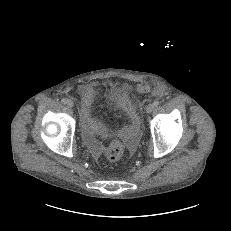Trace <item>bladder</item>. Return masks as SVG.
Masks as SVG:
<instances>
[{"label":"bladder","mask_w":231,"mask_h":231,"mask_svg":"<svg viewBox=\"0 0 231 231\" xmlns=\"http://www.w3.org/2000/svg\"><path fill=\"white\" fill-rule=\"evenodd\" d=\"M107 106L108 108L110 109H113L117 106V100L115 98H110L108 101H107Z\"/></svg>","instance_id":"31cf9c89"}]
</instances>
